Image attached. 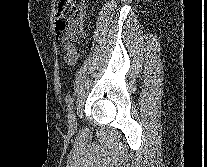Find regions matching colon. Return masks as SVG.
Wrapping results in <instances>:
<instances>
[{
    "label": "colon",
    "instance_id": "5ec220e1",
    "mask_svg": "<svg viewBox=\"0 0 207 167\" xmlns=\"http://www.w3.org/2000/svg\"><path fill=\"white\" fill-rule=\"evenodd\" d=\"M83 3L84 0H61L57 10L56 28L62 41L69 46L84 39Z\"/></svg>",
    "mask_w": 207,
    "mask_h": 167
}]
</instances>
